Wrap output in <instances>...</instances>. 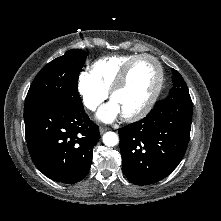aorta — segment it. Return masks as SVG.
Returning <instances> with one entry per match:
<instances>
[{
  "label": "aorta",
  "instance_id": "1",
  "mask_svg": "<svg viewBox=\"0 0 221 221\" xmlns=\"http://www.w3.org/2000/svg\"><path fill=\"white\" fill-rule=\"evenodd\" d=\"M119 142V138L114 132H106L103 135V143L108 147L116 146Z\"/></svg>",
  "mask_w": 221,
  "mask_h": 221
}]
</instances>
